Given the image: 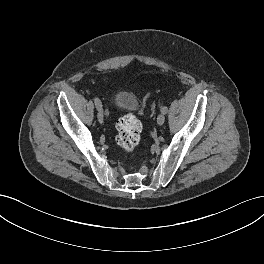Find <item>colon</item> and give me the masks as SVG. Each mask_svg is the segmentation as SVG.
<instances>
[{"label":"colon","instance_id":"5ec220e1","mask_svg":"<svg viewBox=\"0 0 264 264\" xmlns=\"http://www.w3.org/2000/svg\"><path fill=\"white\" fill-rule=\"evenodd\" d=\"M117 131L118 146L126 151H131L140 142L142 125L134 114L129 113L119 119Z\"/></svg>","mask_w":264,"mask_h":264}]
</instances>
